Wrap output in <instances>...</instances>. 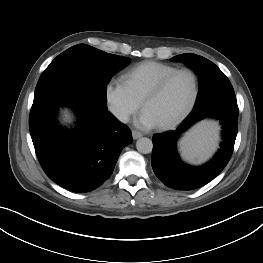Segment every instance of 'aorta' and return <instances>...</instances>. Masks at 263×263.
Instances as JSON below:
<instances>
[{
    "instance_id": "obj_1",
    "label": "aorta",
    "mask_w": 263,
    "mask_h": 263,
    "mask_svg": "<svg viewBox=\"0 0 263 263\" xmlns=\"http://www.w3.org/2000/svg\"><path fill=\"white\" fill-rule=\"evenodd\" d=\"M136 148L138 152L143 153V154H148L152 152L153 143L149 138L143 137L137 140Z\"/></svg>"
}]
</instances>
